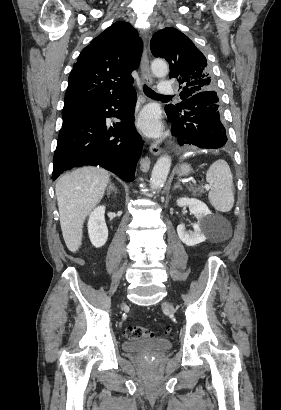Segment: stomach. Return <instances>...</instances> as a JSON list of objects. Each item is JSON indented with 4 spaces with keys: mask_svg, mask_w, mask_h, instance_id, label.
I'll return each instance as SVG.
<instances>
[{
    "mask_svg": "<svg viewBox=\"0 0 281 410\" xmlns=\"http://www.w3.org/2000/svg\"><path fill=\"white\" fill-rule=\"evenodd\" d=\"M191 172V167L188 164H183L180 166L179 170H178V175L179 176H187L189 175Z\"/></svg>",
    "mask_w": 281,
    "mask_h": 410,
    "instance_id": "stomach-1",
    "label": "stomach"
}]
</instances>
